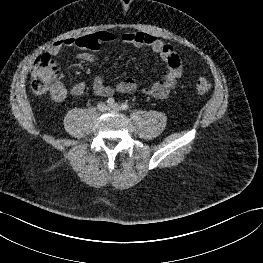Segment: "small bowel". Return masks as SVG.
I'll list each match as a JSON object with an SVG mask.
<instances>
[{
  "label": "small bowel",
  "instance_id": "small-bowel-1",
  "mask_svg": "<svg viewBox=\"0 0 263 263\" xmlns=\"http://www.w3.org/2000/svg\"><path fill=\"white\" fill-rule=\"evenodd\" d=\"M120 40L124 44L135 47H146L153 53L158 55L165 63L167 71L161 80L153 83L151 86L144 88L142 92L154 99H165L176 87L178 80L183 73L182 63L179 55L171 44L165 43L154 35L141 31L128 32L117 38L114 34L102 30L94 34H87L78 37H69L54 42L49 46V53L57 56L64 48H79L81 53L78 57L87 63H94V55L92 51L99 49L102 44L111 43ZM94 92L102 97L112 96L115 89L107 85L103 78L96 76L93 80ZM86 90L84 82L76 83L70 90L72 96H81ZM116 90L120 93H133L137 90V83L132 78H126L120 81ZM68 95L67 89L58 83L51 92V97L57 102L63 101Z\"/></svg>",
  "mask_w": 263,
  "mask_h": 263
}]
</instances>
